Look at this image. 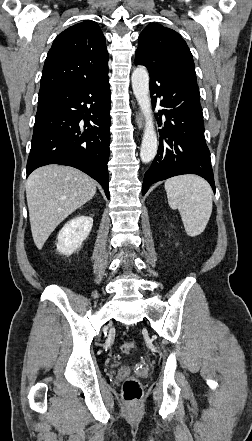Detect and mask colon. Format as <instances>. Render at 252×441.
<instances>
[{
    "label": "colon",
    "mask_w": 252,
    "mask_h": 441,
    "mask_svg": "<svg viewBox=\"0 0 252 441\" xmlns=\"http://www.w3.org/2000/svg\"><path fill=\"white\" fill-rule=\"evenodd\" d=\"M136 345L134 342H125L121 345V351L124 354L134 352ZM123 398L127 403H134L140 399L142 395V387L139 380L135 376L128 377L122 386Z\"/></svg>",
    "instance_id": "colon-1"
}]
</instances>
